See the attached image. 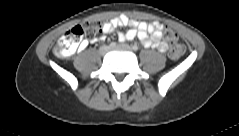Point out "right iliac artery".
I'll use <instances>...</instances> for the list:
<instances>
[{
	"instance_id": "82829eb1",
	"label": "right iliac artery",
	"mask_w": 239,
	"mask_h": 136,
	"mask_svg": "<svg viewBox=\"0 0 239 136\" xmlns=\"http://www.w3.org/2000/svg\"><path fill=\"white\" fill-rule=\"evenodd\" d=\"M116 46V43L115 42H111L110 43V47H115Z\"/></svg>"
}]
</instances>
